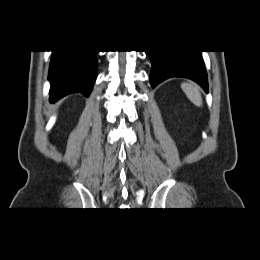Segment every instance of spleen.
<instances>
[{"label":"spleen","mask_w":260,"mask_h":260,"mask_svg":"<svg viewBox=\"0 0 260 260\" xmlns=\"http://www.w3.org/2000/svg\"><path fill=\"white\" fill-rule=\"evenodd\" d=\"M181 88L194 105L202 106V97L197 86L192 83H182Z\"/></svg>","instance_id":"3e777b00"}]
</instances>
